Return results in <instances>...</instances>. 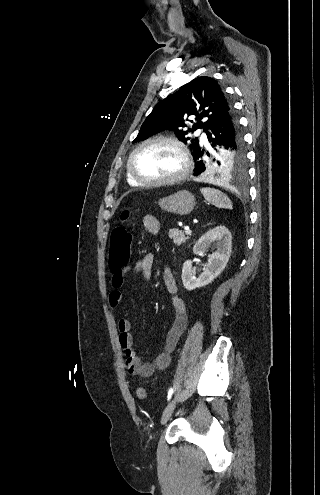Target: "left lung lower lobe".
Instances as JSON below:
<instances>
[{
  "label": "left lung lower lobe",
  "instance_id": "left-lung-lower-lobe-1",
  "mask_svg": "<svg viewBox=\"0 0 320 495\" xmlns=\"http://www.w3.org/2000/svg\"><path fill=\"white\" fill-rule=\"evenodd\" d=\"M238 127V120L231 108L230 111L224 113L214 122V124L206 134L209 142H211V146L216 147L226 144L234 146ZM203 154L204 149H201L193 155L194 161H196V168L194 169V175L196 176L203 172L207 173V167L205 163L200 160Z\"/></svg>",
  "mask_w": 320,
  "mask_h": 495
}]
</instances>
